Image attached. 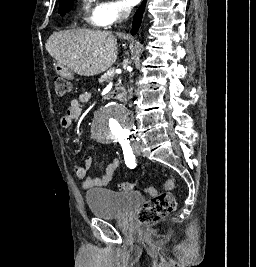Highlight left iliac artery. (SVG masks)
<instances>
[{"label":"left iliac artery","instance_id":"left-iliac-artery-1","mask_svg":"<svg viewBox=\"0 0 256 267\" xmlns=\"http://www.w3.org/2000/svg\"><path fill=\"white\" fill-rule=\"evenodd\" d=\"M119 143L121 144L123 149L126 165L131 169L135 168V156L133 155L132 148L130 147L129 142L124 139H119Z\"/></svg>","mask_w":256,"mask_h":267}]
</instances>
